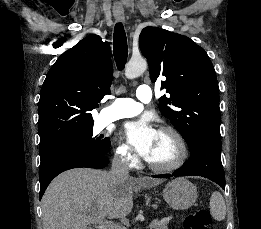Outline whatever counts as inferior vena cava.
<instances>
[{
	"mask_svg": "<svg viewBox=\"0 0 261 229\" xmlns=\"http://www.w3.org/2000/svg\"><path fill=\"white\" fill-rule=\"evenodd\" d=\"M129 161L125 157H114L111 165L110 175L116 179H126L128 175Z\"/></svg>",
	"mask_w": 261,
	"mask_h": 229,
	"instance_id": "1",
	"label": "inferior vena cava"
}]
</instances>
